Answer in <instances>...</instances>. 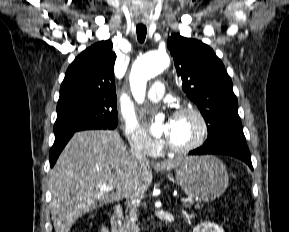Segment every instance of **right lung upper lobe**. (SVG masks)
<instances>
[{
    "label": "right lung upper lobe",
    "instance_id": "obj_1",
    "mask_svg": "<svg viewBox=\"0 0 289 232\" xmlns=\"http://www.w3.org/2000/svg\"><path fill=\"white\" fill-rule=\"evenodd\" d=\"M112 47L110 40L100 41L75 58L61 84L58 105L78 99L117 102Z\"/></svg>",
    "mask_w": 289,
    "mask_h": 232
}]
</instances>
